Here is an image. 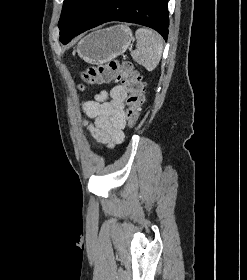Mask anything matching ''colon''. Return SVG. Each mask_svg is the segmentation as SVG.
I'll return each mask as SVG.
<instances>
[{"label": "colon", "mask_w": 247, "mask_h": 280, "mask_svg": "<svg viewBox=\"0 0 247 280\" xmlns=\"http://www.w3.org/2000/svg\"><path fill=\"white\" fill-rule=\"evenodd\" d=\"M82 79L85 85L121 82L127 92L125 117L130 127L135 126L144 101V83L131 62L110 60L105 64L88 68L82 73Z\"/></svg>", "instance_id": "1"}]
</instances>
